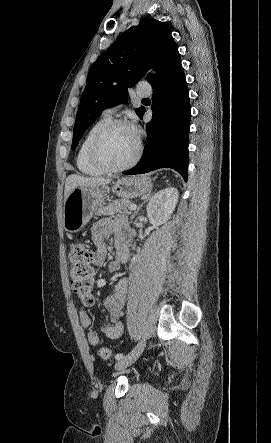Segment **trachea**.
Here are the masks:
<instances>
[{
  "label": "trachea",
  "instance_id": "3493384b",
  "mask_svg": "<svg viewBox=\"0 0 271 443\" xmlns=\"http://www.w3.org/2000/svg\"><path fill=\"white\" fill-rule=\"evenodd\" d=\"M149 99L148 98H143V100L142 101H148Z\"/></svg>",
  "mask_w": 271,
  "mask_h": 443
}]
</instances>
